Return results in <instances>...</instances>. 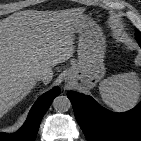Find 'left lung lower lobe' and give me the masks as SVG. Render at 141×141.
Returning a JSON list of instances; mask_svg holds the SVG:
<instances>
[{"instance_id": "obj_1", "label": "left lung lower lobe", "mask_w": 141, "mask_h": 141, "mask_svg": "<svg viewBox=\"0 0 141 141\" xmlns=\"http://www.w3.org/2000/svg\"><path fill=\"white\" fill-rule=\"evenodd\" d=\"M141 47V38H136ZM76 120L88 141H141V102L125 113H113L90 96L69 91Z\"/></svg>"}]
</instances>
